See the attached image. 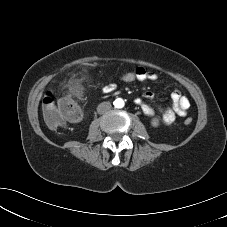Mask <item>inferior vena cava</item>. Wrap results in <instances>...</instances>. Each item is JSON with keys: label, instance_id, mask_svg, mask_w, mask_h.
Instances as JSON below:
<instances>
[{"label": "inferior vena cava", "instance_id": "inferior-vena-cava-1", "mask_svg": "<svg viewBox=\"0 0 227 227\" xmlns=\"http://www.w3.org/2000/svg\"><path fill=\"white\" fill-rule=\"evenodd\" d=\"M111 103L110 102H102L97 107V112L100 114H103L111 109Z\"/></svg>", "mask_w": 227, "mask_h": 227}]
</instances>
